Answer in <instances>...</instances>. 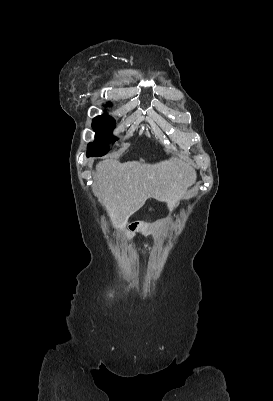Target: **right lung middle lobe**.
Returning a JSON list of instances; mask_svg holds the SVG:
<instances>
[{"instance_id":"right-lung-middle-lobe-1","label":"right lung middle lobe","mask_w":273,"mask_h":401,"mask_svg":"<svg viewBox=\"0 0 273 401\" xmlns=\"http://www.w3.org/2000/svg\"><path fill=\"white\" fill-rule=\"evenodd\" d=\"M92 127L96 133V141L88 144L87 156H102L108 153V145L116 141L111 135L115 120L108 115L98 116L93 119Z\"/></svg>"}]
</instances>
